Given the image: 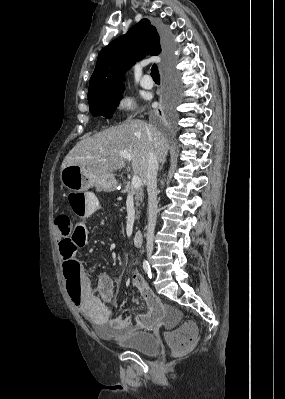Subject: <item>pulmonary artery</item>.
Returning a JSON list of instances; mask_svg holds the SVG:
<instances>
[{"instance_id":"e3ab8cb5","label":"pulmonary artery","mask_w":285,"mask_h":399,"mask_svg":"<svg viewBox=\"0 0 285 399\" xmlns=\"http://www.w3.org/2000/svg\"><path fill=\"white\" fill-rule=\"evenodd\" d=\"M141 86L144 89H151L154 85L152 79L150 78V75L148 73H146L143 77V79L140 82Z\"/></svg>"}]
</instances>
